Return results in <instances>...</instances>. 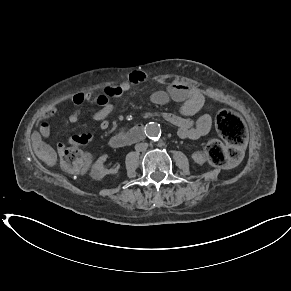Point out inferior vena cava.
<instances>
[{"label":"inferior vena cava","mask_w":291,"mask_h":291,"mask_svg":"<svg viewBox=\"0 0 291 291\" xmlns=\"http://www.w3.org/2000/svg\"><path fill=\"white\" fill-rule=\"evenodd\" d=\"M148 148V143H138L135 145L136 151H144Z\"/></svg>","instance_id":"1"}]
</instances>
